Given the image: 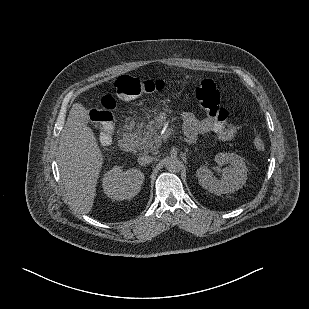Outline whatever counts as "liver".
Instances as JSON below:
<instances>
[{
	"label": "liver",
	"mask_w": 309,
	"mask_h": 309,
	"mask_svg": "<svg viewBox=\"0 0 309 309\" xmlns=\"http://www.w3.org/2000/svg\"><path fill=\"white\" fill-rule=\"evenodd\" d=\"M58 165L66 193L82 212L93 207L97 178L103 156L93 130L88 126V110L73 104L60 135Z\"/></svg>",
	"instance_id": "liver-1"
}]
</instances>
